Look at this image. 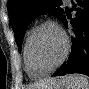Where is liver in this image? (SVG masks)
I'll return each instance as SVG.
<instances>
[{
  "label": "liver",
  "mask_w": 89,
  "mask_h": 89,
  "mask_svg": "<svg viewBox=\"0 0 89 89\" xmlns=\"http://www.w3.org/2000/svg\"><path fill=\"white\" fill-rule=\"evenodd\" d=\"M59 81V79L57 78H49V79H45L43 81H40L39 83L33 84L31 85L29 89H40V88H48L52 85H55L57 82ZM35 87V88H34Z\"/></svg>",
  "instance_id": "1"
}]
</instances>
